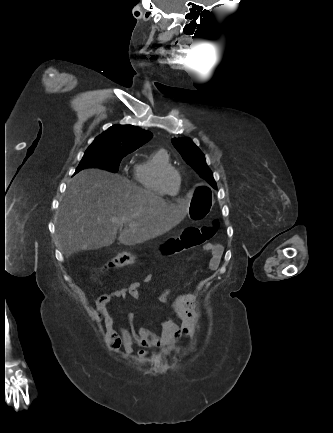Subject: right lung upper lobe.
Returning <instances> with one entry per match:
<instances>
[{
    "label": "right lung upper lobe",
    "mask_w": 333,
    "mask_h": 433,
    "mask_svg": "<svg viewBox=\"0 0 333 433\" xmlns=\"http://www.w3.org/2000/svg\"><path fill=\"white\" fill-rule=\"evenodd\" d=\"M152 133L132 125H113L99 135L90 146L131 153L152 138Z\"/></svg>",
    "instance_id": "1"
}]
</instances>
